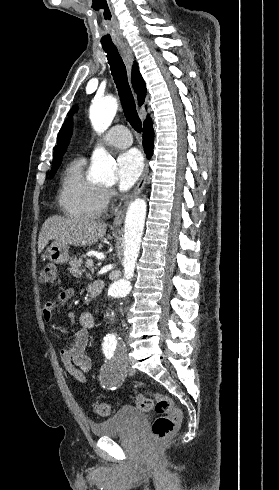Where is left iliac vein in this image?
Segmentation results:
<instances>
[{"label":"left iliac vein","instance_id":"4c4485c4","mask_svg":"<svg viewBox=\"0 0 279 490\" xmlns=\"http://www.w3.org/2000/svg\"><path fill=\"white\" fill-rule=\"evenodd\" d=\"M127 358H128V357H127V355H125V354L121 356V359H122V360H124V361H125V360H127Z\"/></svg>","mask_w":279,"mask_h":490}]
</instances>
